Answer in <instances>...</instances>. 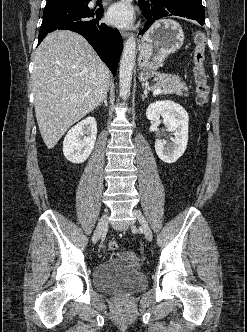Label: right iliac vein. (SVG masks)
Masks as SVG:
<instances>
[{
    "label": "right iliac vein",
    "instance_id": "1",
    "mask_svg": "<svg viewBox=\"0 0 247 332\" xmlns=\"http://www.w3.org/2000/svg\"><path fill=\"white\" fill-rule=\"evenodd\" d=\"M107 225H108V213L106 212L99 220L95 233L92 237L93 243H97V241L103 235L105 229L107 228Z\"/></svg>",
    "mask_w": 247,
    "mask_h": 332
}]
</instances>
